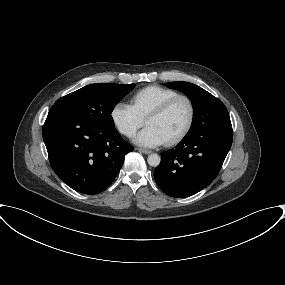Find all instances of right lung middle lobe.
<instances>
[{"mask_svg":"<svg viewBox=\"0 0 285 285\" xmlns=\"http://www.w3.org/2000/svg\"><path fill=\"white\" fill-rule=\"evenodd\" d=\"M135 84H91L58 99L51 109L70 111L101 127L115 128L111 113Z\"/></svg>","mask_w":285,"mask_h":285,"instance_id":"right-lung-middle-lobe-1","label":"right lung middle lobe"}]
</instances>
